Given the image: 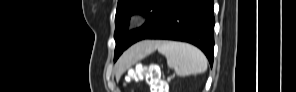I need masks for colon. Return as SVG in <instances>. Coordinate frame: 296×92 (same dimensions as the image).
Instances as JSON below:
<instances>
[{"instance_id":"obj_1","label":"colon","mask_w":296,"mask_h":92,"mask_svg":"<svg viewBox=\"0 0 296 92\" xmlns=\"http://www.w3.org/2000/svg\"><path fill=\"white\" fill-rule=\"evenodd\" d=\"M130 78L145 79L148 84L154 87V92L160 91L162 83L159 75V67L157 65L137 66L134 68Z\"/></svg>"}]
</instances>
